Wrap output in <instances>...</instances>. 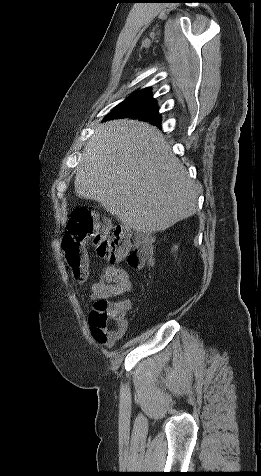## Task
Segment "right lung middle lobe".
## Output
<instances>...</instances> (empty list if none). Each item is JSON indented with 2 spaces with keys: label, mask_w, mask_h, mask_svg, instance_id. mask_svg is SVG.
Wrapping results in <instances>:
<instances>
[{
  "label": "right lung middle lobe",
  "mask_w": 261,
  "mask_h": 476,
  "mask_svg": "<svg viewBox=\"0 0 261 476\" xmlns=\"http://www.w3.org/2000/svg\"><path fill=\"white\" fill-rule=\"evenodd\" d=\"M108 117H131L151 121L154 124L160 123L158 106L155 102H122Z\"/></svg>",
  "instance_id": "dd1d6c3e"
}]
</instances>
